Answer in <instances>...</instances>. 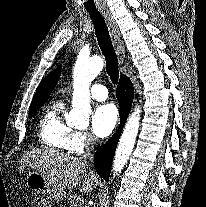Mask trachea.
Here are the masks:
<instances>
[{"instance_id": "3493384b", "label": "trachea", "mask_w": 206, "mask_h": 207, "mask_svg": "<svg viewBox=\"0 0 206 207\" xmlns=\"http://www.w3.org/2000/svg\"><path fill=\"white\" fill-rule=\"evenodd\" d=\"M89 15L94 24L98 44L106 61V72L112 83L115 85L119 79L118 60L112 45L108 27L104 18L98 11H89Z\"/></svg>"}]
</instances>
